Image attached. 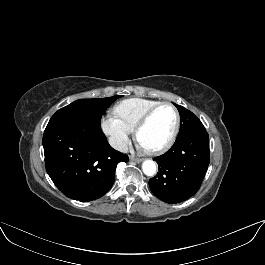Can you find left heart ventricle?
Segmentation results:
<instances>
[{"label": "left heart ventricle", "mask_w": 265, "mask_h": 265, "mask_svg": "<svg viewBox=\"0 0 265 265\" xmlns=\"http://www.w3.org/2000/svg\"><path fill=\"white\" fill-rule=\"evenodd\" d=\"M175 125V114L170 107L160 108L141 129L138 140L153 149L164 144L170 137Z\"/></svg>", "instance_id": "1"}]
</instances>
